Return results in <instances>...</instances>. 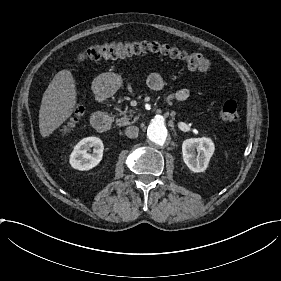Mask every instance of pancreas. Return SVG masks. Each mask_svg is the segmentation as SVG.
Here are the masks:
<instances>
[{"label":"pancreas","instance_id":"cf45deb5","mask_svg":"<svg viewBox=\"0 0 281 281\" xmlns=\"http://www.w3.org/2000/svg\"><path fill=\"white\" fill-rule=\"evenodd\" d=\"M119 112H120V115H123L122 118L120 119H116V124L118 126H126V125H129L131 122H130V119L133 117V113L134 111L132 109L129 110V113L130 115H126V113L128 112L127 109L125 111H122L121 109L119 108H116ZM138 120V117H134L133 118V122H136Z\"/></svg>","mask_w":281,"mask_h":281}]
</instances>
